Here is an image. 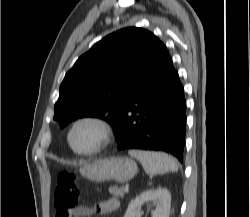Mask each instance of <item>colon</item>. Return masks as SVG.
I'll use <instances>...</instances> for the list:
<instances>
[{"instance_id": "colon-1", "label": "colon", "mask_w": 250, "mask_h": 217, "mask_svg": "<svg viewBox=\"0 0 250 217\" xmlns=\"http://www.w3.org/2000/svg\"><path fill=\"white\" fill-rule=\"evenodd\" d=\"M79 198L80 191L75 175L70 172L59 174L53 198L56 217H70V214L78 205Z\"/></svg>"}]
</instances>
